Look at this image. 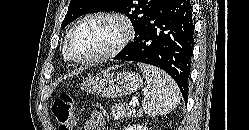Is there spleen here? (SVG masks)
<instances>
[{"instance_id":"3e777b00","label":"spleen","mask_w":249,"mask_h":130,"mask_svg":"<svg viewBox=\"0 0 249 130\" xmlns=\"http://www.w3.org/2000/svg\"><path fill=\"white\" fill-rule=\"evenodd\" d=\"M148 88L144 91L142 108L148 116H161L172 112L180 102L176 82L164 71L154 66L138 63Z\"/></svg>"}]
</instances>
